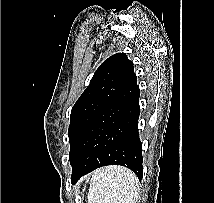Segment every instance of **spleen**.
Instances as JSON below:
<instances>
[{
    "label": "spleen",
    "instance_id": "3e777b00",
    "mask_svg": "<svg viewBox=\"0 0 214 203\" xmlns=\"http://www.w3.org/2000/svg\"><path fill=\"white\" fill-rule=\"evenodd\" d=\"M138 188L136 175L127 168H101L92 175L88 203H136Z\"/></svg>",
    "mask_w": 214,
    "mask_h": 203
}]
</instances>
